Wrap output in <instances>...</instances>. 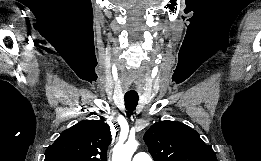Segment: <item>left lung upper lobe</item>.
<instances>
[{"label": "left lung upper lobe", "mask_w": 261, "mask_h": 161, "mask_svg": "<svg viewBox=\"0 0 261 161\" xmlns=\"http://www.w3.org/2000/svg\"><path fill=\"white\" fill-rule=\"evenodd\" d=\"M144 140L154 161H217L212 146L180 122H157L145 133Z\"/></svg>", "instance_id": "left-lung-upper-lobe-1"}]
</instances>
